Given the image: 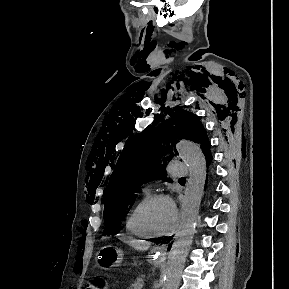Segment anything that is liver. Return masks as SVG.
<instances>
[{"mask_svg":"<svg viewBox=\"0 0 289 289\" xmlns=\"http://www.w3.org/2000/svg\"><path fill=\"white\" fill-rule=\"evenodd\" d=\"M127 243L136 248V249H140V250H145L149 247V245L147 243H144L142 241H139V240H133V239H130L127 241Z\"/></svg>","mask_w":289,"mask_h":289,"instance_id":"6515ba94","label":"liver"}]
</instances>
